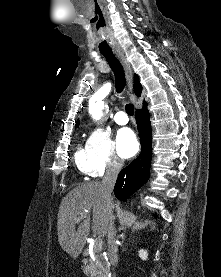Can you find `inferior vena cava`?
<instances>
[{"label":"inferior vena cava","mask_w":221,"mask_h":277,"mask_svg":"<svg viewBox=\"0 0 221 277\" xmlns=\"http://www.w3.org/2000/svg\"><path fill=\"white\" fill-rule=\"evenodd\" d=\"M122 168V164L116 161H110L106 168L105 176L102 179V192L103 196L107 201V206L109 210V223L107 228V253L108 258L112 266H116L118 263V255H117V246L115 241V228H114V215H113V199L112 192L117 179V176Z\"/></svg>","instance_id":"1"}]
</instances>
